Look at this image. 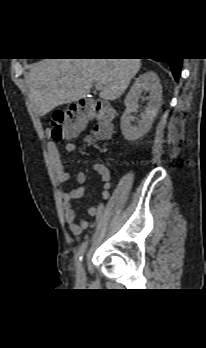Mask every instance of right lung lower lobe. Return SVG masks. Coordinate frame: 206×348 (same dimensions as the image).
<instances>
[{"mask_svg": "<svg viewBox=\"0 0 206 348\" xmlns=\"http://www.w3.org/2000/svg\"><path fill=\"white\" fill-rule=\"evenodd\" d=\"M163 60L170 65L172 74H173L175 80L178 81L180 71H181L182 59L181 58H167V59H163Z\"/></svg>", "mask_w": 206, "mask_h": 348, "instance_id": "98d812e1", "label": "right lung lower lobe"}]
</instances>
